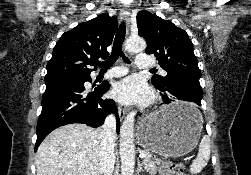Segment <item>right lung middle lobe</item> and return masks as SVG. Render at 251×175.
Returning a JSON list of instances; mask_svg holds the SVG:
<instances>
[{
	"mask_svg": "<svg viewBox=\"0 0 251 175\" xmlns=\"http://www.w3.org/2000/svg\"><path fill=\"white\" fill-rule=\"evenodd\" d=\"M67 80H81V79H67Z\"/></svg>",
	"mask_w": 251,
	"mask_h": 175,
	"instance_id": "1",
	"label": "right lung middle lobe"
}]
</instances>
